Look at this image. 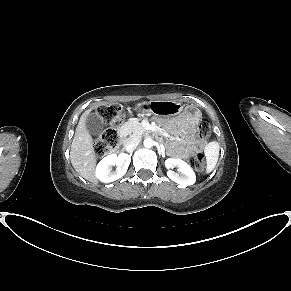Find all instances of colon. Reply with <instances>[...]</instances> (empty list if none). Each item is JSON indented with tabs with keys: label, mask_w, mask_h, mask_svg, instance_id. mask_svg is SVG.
<instances>
[{
	"label": "colon",
	"mask_w": 291,
	"mask_h": 291,
	"mask_svg": "<svg viewBox=\"0 0 291 291\" xmlns=\"http://www.w3.org/2000/svg\"><path fill=\"white\" fill-rule=\"evenodd\" d=\"M101 120L108 125V128L95 140V151L102 156L112 152L120 141L118 128L125 121V110L120 105H105L97 111ZM210 136V125L207 120H200L195 128L194 137L197 143L206 142ZM194 167L202 172L205 168L203 154L198 153L193 159Z\"/></svg>",
	"instance_id": "colon-1"
}]
</instances>
